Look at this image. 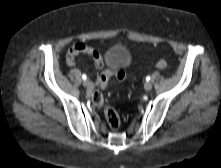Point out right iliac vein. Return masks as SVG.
I'll return each mask as SVG.
<instances>
[{
  "instance_id": "1",
  "label": "right iliac vein",
  "mask_w": 221,
  "mask_h": 168,
  "mask_svg": "<svg viewBox=\"0 0 221 168\" xmlns=\"http://www.w3.org/2000/svg\"><path fill=\"white\" fill-rule=\"evenodd\" d=\"M84 87H86L87 89H91L93 87V83L90 80H85L83 82Z\"/></svg>"
}]
</instances>
